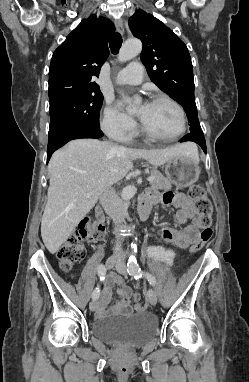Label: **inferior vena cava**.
<instances>
[{
  "mask_svg": "<svg viewBox=\"0 0 249 382\" xmlns=\"http://www.w3.org/2000/svg\"><path fill=\"white\" fill-rule=\"evenodd\" d=\"M115 147L119 149L124 148L122 146H117V145H115ZM99 199L106 214L112 218L113 222L116 225L121 224L124 221V218L126 216V209L122 206L120 198L116 194L115 189L111 186L107 187L101 193ZM114 254L116 256L121 255V241L118 237H117L116 245L114 248Z\"/></svg>",
  "mask_w": 249,
  "mask_h": 382,
  "instance_id": "obj_1",
  "label": "inferior vena cava"
}]
</instances>
